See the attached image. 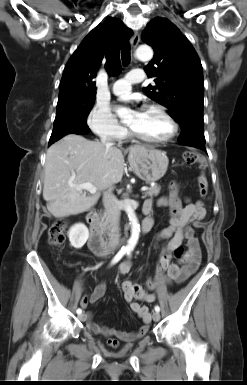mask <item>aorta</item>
<instances>
[{"label": "aorta", "instance_id": "762f6f07", "mask_svg": "<svg viewBox=\"0 0 247 385\" xmlns=\"http://www.w3.org/2000/svg\"><path fill=\"white\" fill-rule=\"evenodd\" d=\"M135 55L139 60L148 61L153 57V50L151 49V47H149L147 45H142V46L138 47ZM118 112L125 113V112H127V110L124 108H120L118 110ZM125 210H126V213L129 217V221H130V225H131V237L128 240V243H127L125 249L127 251H132L135 248L137 241L139 239L140 225L138 223V220H137V217L134 213V210L131 208V206L127 205Z\"/></svg>", "mask_w": 247, "mask_h": 385}]
</instances>
